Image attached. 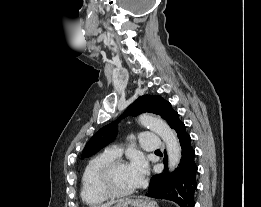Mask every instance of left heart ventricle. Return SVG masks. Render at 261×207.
Wrapping results in <instances>:
<instances>
[{
  "label": "left heart ventricle",
  "instance_id": "left-heart-ventricle-1",
  "mask_svg": "<svg viewBox=\"0 0 261 207\" xmlns=\"http://www.w3.org/2000/svg\"><path fill=\"white\" fill-rule=\"evenodd\" d=\"M112 185L118 191H127L135 187L128 165H122L115 169Z\"/></svg>",
  "mask_w": 261,
  "mask_h": 207
}]
</instances>
